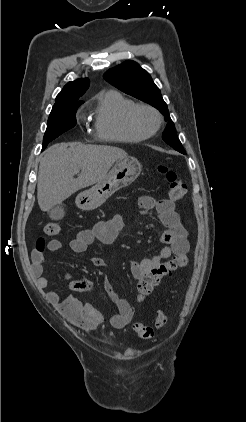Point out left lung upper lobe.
I'll use <instances>...</instances> for the list:
<instances>
[{
  "instance_id": "1",
  "label": "left lung upper lobe",
  "mask_w": 246,
  "mask_h": 422,
  "mask_svg": "<svg viewBox=\"0 0 246 422\" xmlns=\"http://www.w3.org/2000/svg\"><path fill=\"white\" fill-rule=\"evenodd\" d=\"M104 78L121 91L157 108L168 122L162 139L175 150L185 154V150L176 134L175 125L170 118L167 104L147 71L142 69L136 62L129 60L108 70L104 74Z\"/></svg>"
}]
</instances>
